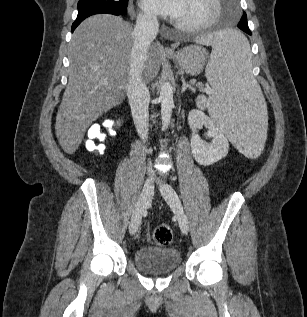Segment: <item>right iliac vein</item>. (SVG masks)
Masks as SVG:
<instances>
[{"instance_id":"obj_1","label":"right iliac vein","mask_w":307,"mask_h":317,"mask_svg":"<svg viewBox=\"0 0 307 317\" xmlns=\"http://www.w3.org/2000/svg\"><path fill=\"white\" fill-rule=\"evenodd\" d=\"M154 193V184L153 179L148 178L143 186L142 192L140 197L137 201L135 209L132 213L130 224H129V231L131 234H135L140 226L141 219L143 216L144 211L149 206Z\"/></svg>"}]
</instances>
